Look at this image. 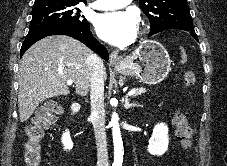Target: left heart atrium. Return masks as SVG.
Segmentation results:
<instances>
[{
  "mask_svg": "<svg viewBox=\"0 0 227 166\" xmlns=\"http://www.w3.org/2000/svg\"><path fill=\"white\" fill-rule=\"evenodd\" d=\"M99 37L113 45H126L133 41L137 30V17L129 11L100 14L95 20Z\"/></svg>",
  "mask_w": 227,
  "mask_h": 166,
  "instance_id": "39dd6f15",
  "label": "left heart atrium"
}]
</instances>
